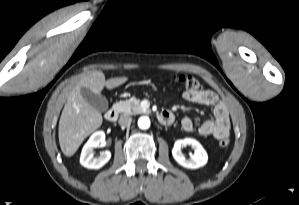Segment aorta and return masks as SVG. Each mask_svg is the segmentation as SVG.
<instances>
[{
	"label": "aorta",
	"instance_id": "aorta-1",
	"mask_svg": "<svg viewBox=\"0 0 299 205\" xmlns=\"http://www.w3.org/2000/svg\"><path fill=\"white\" fill-rule=\"evenodd\" d=\"M138 126L141 129H148L150 127V119L146 116H142L138 120Z\"/></svg>",
	"mask_w": 299,
	"mask_h": 205
}]
</instances>
